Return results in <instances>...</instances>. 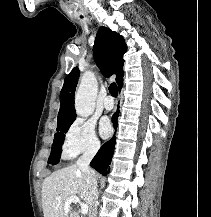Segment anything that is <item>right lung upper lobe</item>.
Masks as SVG:
<instances>
[{"instance_id": "obj_1", "label": "right lung upper lobe", "mask_w": 211, "mask_h": 217, "mask_svg": "<svg viewBox=\"0 0 211 217\" xmlns=\"http://www.w3.org/2000/svg\"><path fill=\"white\" fill-rule=\"evenodd\" d=\"M127 47L122 36L106 27H101L97 33L93 47L94 60L106 77L116 74L118 87L123 82V55ZM80 72L75 67L65 78L60 93V110L58 113L57 129L62 125L73 122L76 118L74 108V93Z\"/></svg>"}]
</instances>
